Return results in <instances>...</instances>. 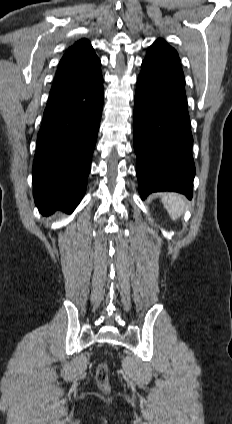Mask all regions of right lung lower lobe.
Listing matches in <instances>:
<instances>
[{
    "instance_id": "right-lung-lower-lobe-1",
    "label": "right lung lower lobe",
    "mask_w": 232,
    "mask_h": 424,
    "mask_svg": "<svg viewBox=\"0 0 232 424\" xmlns=\"http://www.w3.org/2000/svg\"><path fill=\"white\" fill-rule=\"evenodd\" d=\"M102 76L50 92L33 161V194L43 215L72 212L87 186L103 108Z\"/></svg>"
}]
</instances>
